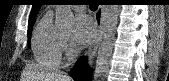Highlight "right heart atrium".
<instances>
[{
    "label": "right heart atrium",
    "instance_id": "d8ad5b80",
    "mask_svg": "<svg viewBox=\"0 0 169 81\" xmlns=\"http://www.w3.org/2000/svg\"><path fill=\"white\" fill-rule=\"evenodd\" d=\"M61 51L64 55H69L70 49H69L68 42L65 39H62Z\"/></svg>",
    "mask_w": 169,
    "mask_h": 81
}]
</instances>
